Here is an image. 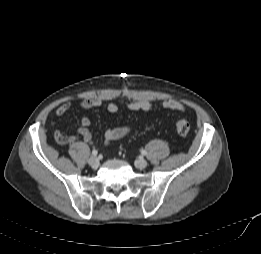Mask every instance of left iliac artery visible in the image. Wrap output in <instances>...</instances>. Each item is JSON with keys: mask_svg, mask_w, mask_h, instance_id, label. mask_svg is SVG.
Listing matches in <instances>:
<instances>
[{"mask_svg": "<svg viewBox=\"0 0 261 254\" xmlns=\"http://www.w3.org/2000/svg\"><path fill=\"white\" fill-rule=\"evenodd\" d=\"M141 153H142L143 155H146V154H147V152H146L145 150H141Z\"/></svg>", "mask_w": 261, "mask_h": 254, "instance_id": "obj_1", "label": "left iliac artery"}]
</instances>
